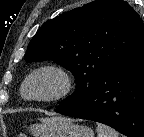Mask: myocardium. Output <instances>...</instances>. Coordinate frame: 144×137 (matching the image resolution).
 Masks as SVG:
<instances>
[{"instance_id":"f54148a6","label":"myocardium","mask_w":144,"mask_h":137,"mask_svg":"<svg viewBox=\"0 0 144 137\" xmlns=\"http://www.w3.org/2000/svg\"><path fill=\"white\" fill-rule=\"evenodd\" d=\"M45 73L53 74L58 78L60 82L58 90L48 96H40V97L27 96L25 94V89L28 83L36 76ZM72 89H73V79L70 73L65 68L55 64H46L33 69L26 76L21 86V95L24 99L28 101L50 103L66 98L71 93Z\"/></svg>"}]
</instances>
